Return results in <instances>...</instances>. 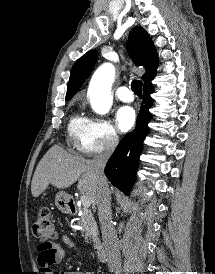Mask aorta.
<instances>
[{
	"label": "aorta",
	"mask_w": 215,
	"mask_h": 274,
	"mask_svg": "<svg viewBox=\"0 0 215 274\" xmlns=\"http://www.w3.org/2000/svg\"><path fill=\"white\" fill-rule=\"evenodd\" d=\"M115 68L111 63H104L93 74L88 94L92 109L98 114H106L112 106L111 87Z\"/></svg>",
	"instance_id": "762f6f07"
}]
</instances>
